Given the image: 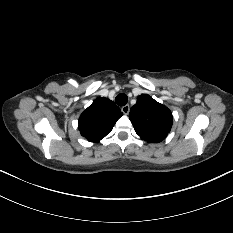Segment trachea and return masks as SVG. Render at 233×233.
Here are the masks:
<instances>
[{"instance_id":"3493384b","label":"trachea","mask_w":233,"mask_h":233,"mask_svg":"<svg viewBox=\"0 0 233 233\" xmlns=\"http://www.w3.org/2000/svg\"><path fill=\"white\" fill-rule=\"evenodd\" d=\"M115 102L119 105V106H125L128 102V97L126 94H119L117 95V97L115 98Z\"/></svg>"}]
</instances>
